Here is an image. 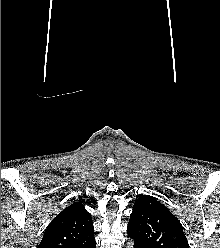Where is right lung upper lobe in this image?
Returning <instances> with one entry per match:
<instances>
[{
    "label": "right lung upper lobe",
    "instance_id": "cb5924a9",
    "mask_svg": "<svg viewBox=\"0 0 220 248\" xmlns=\"http://www.w3.org/2000/svg\"><path fill=\"white\" fill-rule=\"evenodd\" d=\"M93 231L90 213L76 201L52 220L38 248H86L95 241Z\"/></svg>",
    "mask_w": 220,
    "mask_h": 248
}]
</instances>
